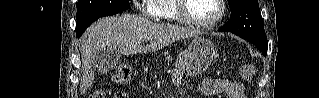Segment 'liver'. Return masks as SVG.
Wrapping results in <instances>:
<instances>
[{
  "label": "liver",
  "instance_id": "liver-1",
  "mask_svg": "<svg viewBox=\"0 0 319 98\" xmlns=\"http://www.w3.org/2000/svg\"><path fill=\"white\" fill-rule=\"evenodd\" d=\"M197 30L174 25L156 24L141 16L122 14L105 17L93 23L80 39L82 58L80 93L94 83L93 58L102 50H114L124 55L157 51L170 43L196 37ZM149 45H142L144 41Z\"/></svg>",
  "mask_w": 319,
  "mask_h": 98
}]
</instances>
